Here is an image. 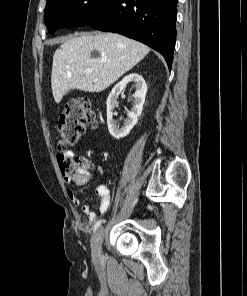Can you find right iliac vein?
Segmentation results:
<instances>
[{
    "instance_id": "1",
    "label": "right iliac vein",
    "mask_w": 247,
    "mask_h": 296,
    "mask_svg": "<svg viewBox=\"0 0 247 296\" xmlns=\"http://www.w3.org/2000/svg\"><path fill=\"white\" fill-rule=\"evenodd\" d=\"M103 228H99L91 239V252L94 259H99L102 254Z\"/></svg>"
}]
</instances>
